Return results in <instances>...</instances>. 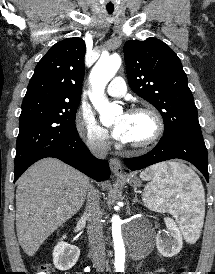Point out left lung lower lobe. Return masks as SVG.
<instances>
[{
    "instance_id": "0a47b994",
    "label": "left lung lower lobe",
    "mask_w": 215,
    "mask_h": 274,
    "mask_svg": "<svg viewBox=\"0 0 215 274\" xmlns=\"http://www.w3.org/2000/svg\"><path fill=\"white\" fill-rule=\"evenodd\" d=\"M175 158L189 161L209 180L207 149L203 137L189 133L164 135L152 151L139 157L125 158L124 163L129 170L135 171Z\"/></svg>"
}]
</instances>
